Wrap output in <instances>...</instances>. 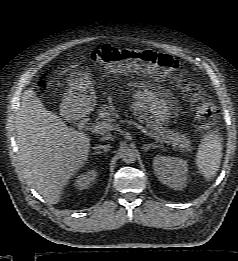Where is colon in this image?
I'll list each match as a JSON object with an SVG mask.
<instances>
[{
  "instance_id": "1",
  "label": "colon",
  "mask_w": 238,
  "mask_h": 261,
  "mask_svg": "<svg viewBox=\"0 0 238 261\" xmlns=\"http://www.w3.org/2000/svg\"><path fill=\"white\" fill-rule=\"evenodd\" d=\"M90 59L115 72L150 74L161 79L170 75L179 76V86L191 103L195 120L202 130L209 129L218 117V109L194 77L188 75L181 64L170 55L148 49L120 48L103 45L90 53ZM47 81L41 79L40 87Z\"/></svg>"
}]
</instances>
